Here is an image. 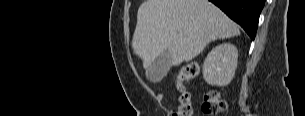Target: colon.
Segmentation results:
<instances>
[{
  "label": "colon",
  "instance_id": "5ec220e1",
  "mask_svg": "<svg viewBox=\"0 0 305 116\" xmlns=\"http://www.w3.org/2000/svg\"><path fill=\"white\" fill-rule=\"evenodd\" d=\"M201 67L197 62H190L183 66L176 77V89L179 92V108L172 116H191L192 106L190 95L185 88V82L199 76ZM203 110L206 114L216 115L227 110L226 102L217 91H210L205 96Z\"/></svg>",
  "mask_w": 305,
  "mask_h": 116
}]
</instances>
